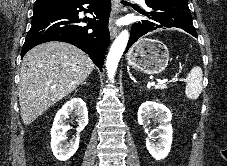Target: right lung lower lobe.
<instances>
[{
    "label": "right lung lower lobe",
    "mask_w": 227,
    "mask_h": 166,
    "mask_svg": "<svg viewBox=\"0 0 227 166\" xmlns=\"http://www.w3.org/2000/svg\"><path fill=\"white\" fill-rule=\"evenodd\" d=\"M87 4L94 18L83 20L87 26H80L78 23L81 20L78 19V13L83 11V5ZM110 7V0H78L64 10L34 17L21 51V57L39 44L62 41L83 50L102 70L105 52L110 43L108 30Z\"/></svg>",
    "instance_id": "1"
}]
</instances>
